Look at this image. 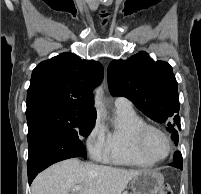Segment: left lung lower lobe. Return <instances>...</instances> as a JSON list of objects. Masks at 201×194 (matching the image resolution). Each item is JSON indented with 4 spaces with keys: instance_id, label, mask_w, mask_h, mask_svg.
Masks as SVG:
<instances>
[{
    "instance_id": "1",
    "label": "left lung lower lobe",
    "mask_w": 201,
    "mask_h": 194,
    "mask_svg": "<svg viewBox=\"0 0 201 194\" xmlns=\"http://www.w3.org/2000/svg\"><path fill=\"white\" fill-rule=\"evenodd\" d=\"M176 145H178V137L173 138ZM170 166L179 168L182 170V156L179 151H176L174 154V161L170 164Z\"/></svg>"
}]
</instances>
